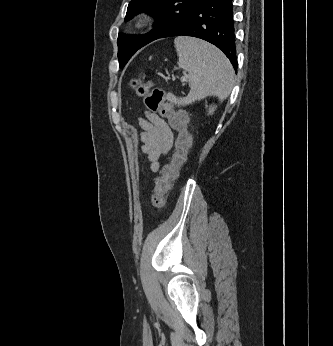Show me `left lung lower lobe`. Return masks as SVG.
<instances>
[{"label": "left lung lower lobe", "instance_id": "1", "mask_svg": "<svg viewBox=\"0 0 333 346\" xmlns=\"http://www.w3.org/2000/svg\"><path fill=\"white\" fill-rule=\"evenodd\" d=\"M171 36H192L214 44L229 58L237 72L232 0H202L160 38Z\"/></svg>", "mask_w": 333, "mask_h": 346}]
</instances>
